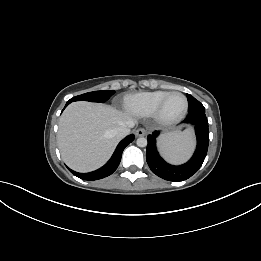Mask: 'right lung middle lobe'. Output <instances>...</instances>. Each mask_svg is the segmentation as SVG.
Wrapping results in <instances>:
<instances>
[{"mask_svg": "<svg viewBox=\"0 0 261 261\" xmlns=\"http://www.w3.org/2000/svg\"><path fill=\"white\" fill-rule=\"evenodd\" d=\"M114 94L113 90H103L85 93L76 97H73L68 102L73 101H90V102H105Z\"/></svg>", "mask_w": 261, "mask_h": 261, "instance_id": "right-lung-middle-lobe-1", "label": "right lung middle lobe"}]
</instances>
